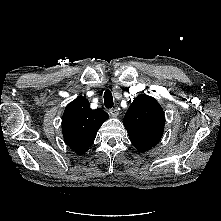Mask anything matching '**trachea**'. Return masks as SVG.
<instances>
[{
	"label": "trachea",
	"mask_w": 221,
	"mask_h": 221,
	"mask_svg": "<svg viewBox=\"0 0 221 221\" xmlns=\"http://www.w3.org/2000/svg\"><path fill=\"white\" fill-rule=\"evenodd\" d=\"M104 105L106 108H112L114 105L112 93L110 90H106L104 93Z\"/></svg>",
	"instance_id": "1"
}]
</instances>
